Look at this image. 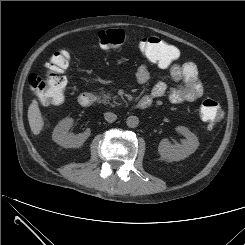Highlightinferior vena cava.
Wrapping results in <instances>:
<instances>
[{
  "mask_svg": "<svg viewBox=\"0 0 245 245\" xmlns=\"http://www.w3.org/2000/svg\"><path fill=\"white\" fill-rule=\"evenodd\" d=\"M104 118L107 122L112 123L117 119V115L112 112H106Z\"/></svg>",
  "mask_w": 245,
  "mask_h": 245,
  "instance_id": "602c4592",
  "label": "inferior vena cava"
}]
</instances>
